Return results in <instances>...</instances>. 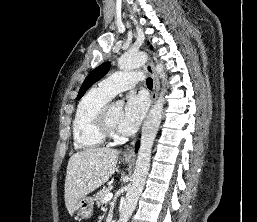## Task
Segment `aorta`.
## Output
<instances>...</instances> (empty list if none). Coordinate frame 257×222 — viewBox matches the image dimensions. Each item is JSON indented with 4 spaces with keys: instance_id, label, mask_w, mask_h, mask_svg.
I'll use <instances>...</instances> for the list:
<instances>
[{
    "instance_id": "obj_1",
    "label": "aorta",
    "mask_w": 257,
    "mask_h": 222,
    "mask_svg": "<svg viewBox=\"0 0 257 222\" xmlns=\"http://www.w3.org/2000/svg\"><path fill=\"white\" fill-rule=\"evenodd\" d=\"M146 60L147 55L144 52L128 51L119 59L118 66L123 70L135 69L144 65ZM155 70L162 79H165L166 74L162 64H157ZM163 95L164 91L162 90L158 100L149 111L143 124L135 170L132 175L131 183L128 186L125 200L120 207V217L118 222H127L129 220L145 185L150 167L151 149L162 118L164 105ZM116 105L122 107L123 101H117Z\"/></svg>"
}]
</instances>
